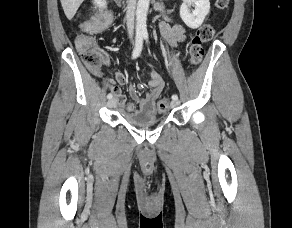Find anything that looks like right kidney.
<instances>
[{
	"label": "right kidney",
	"instance_id": "1",
	"mask_svg": "<svg viewBox=\"0 0 292 228\" xmlns=\"http://www.w3.org/2000/svg\"><path fill=\"white\" fill-rule=\"evenodd\" d=\"M94 4L99 8H105L106 7V1L105 0H94Z\"/></svg>",
	"mask_w": 292,
	"mask_h": 228
}]
</instances>
